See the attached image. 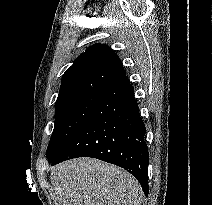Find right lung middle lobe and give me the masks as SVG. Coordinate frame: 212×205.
<instances>
[{
	"mask_svg": "<svg viewBox=\"0 0 212 205\" xmlns=\"http://www.w3.org/2000/svg\"><path fill=\"white\" fill-rule=\"evenodd\" d=\"M102 94L87 95L55 106V125L47 158L53 159L68 144L98 105Z\"/></svg>",
	"mask_w": 212,
	"mask_h": 205,
	"instance_id": "right-lung-middle-lobe-1",
	"label": "right lung middle lobe"
}]
</instances>
